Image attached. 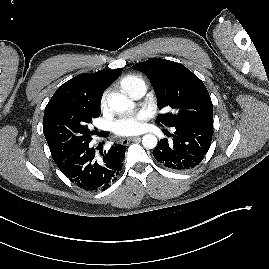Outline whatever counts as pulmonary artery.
<instances>
[{
  "label": "pulmonary artery",
  "instance_id": "e3ab8cb5",
  "mask_svg": "<svg viewBox=\"0 0 269 269\" xmlns=\"http://www.w3.org/2000/svg\"><path fill=\"white\" fill-rule=\"evenodd\" d=\"M146 92L145 84L138 85L132 92L131 96L133 99L141 98Z\"/></svg>",
  "mask_w": 269,
  "mask_h": 269
}]
</instances>
